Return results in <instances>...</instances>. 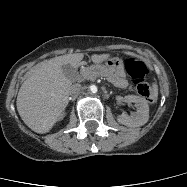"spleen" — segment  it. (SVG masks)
<instances>
[{
    "label": "spleen",
    "instance_id": "spleen-1",
    "mask_svg": "<svg viewBox=\"0 0 187 187\" xmlns=\"http://www.w3.org/2000/svg\"><path fill=\"white\" fill-rule=\"evenodd\" d=\"M153 94H154V98L157 99L158 97V87L156 84L153 85Z\"/></svg>",
    "mask_w": 187,
    "mask_h": 187
}]
</instances>
